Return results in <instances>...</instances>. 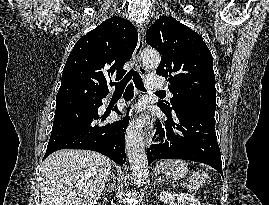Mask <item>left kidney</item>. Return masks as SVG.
<instances>
[{"mask_svg": "<svg viewBox=\"0 0 269 205\" xmlns=\"http://www.w3.org/2000/svg\"><path fill=\"white\" fill-rule=\"evenodd\" d=\"M175 197H177L178 205H201L198 199L187 193L174 194L168 191H162L160 193V200L164 204L172 202Z\"/></svg>", "mask_w": 269, "mask_h": 205, "instance_id": "5707ae66", "label": "left kidney"}]
</instances>
